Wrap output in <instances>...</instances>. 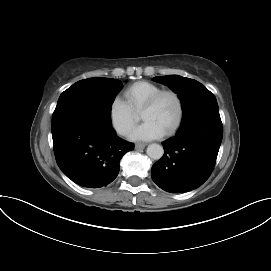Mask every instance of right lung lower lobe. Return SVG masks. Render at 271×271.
I'll return each mask as SVG.
<instances>
[{
  "mask_svg": "<svg viewBox=\"0 0 271 271\" xmlns=\"http://www.w3.org/2000/svg\"><path fill=\"white\" fill-rule=\"evenodd\" d=\"M56 162L64 174L83 187L98 188L118 175L119 161L134 149L119 138L103 116H89L52 128Z\"/></svg>",
  "mask_w": 271,
  "mask_h": 271,
  "instance_id": "right-lung-lower-lobe-1",
  "label": "right lung lower lobe"
}]
</instances>
